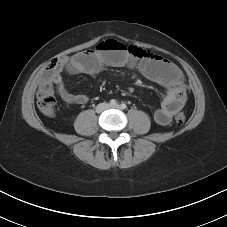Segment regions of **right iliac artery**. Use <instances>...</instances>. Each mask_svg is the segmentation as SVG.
<instances>
[{
    "instance_id": "obj_1",
    "label": "right iliac artery",
    "mask_w": 227,
    "mask_h": 227,
    "mask_svg": "<svg viewBox=\"0 0 227 227\" xmlns=\"http://www.w3.org/2000/svg\"><path fill=\"white\" fill-rule=\"evenodd\" d=\"M110 105L112 106L116 105V101L114 99L110 100Z\"/></svg>"
}]
</instances>
